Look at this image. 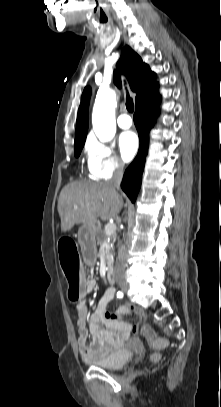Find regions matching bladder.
<instances>
[{"mask_svg":"<svg viewBox=\"0 0 221 407\" xmlns=\"http://www.w3.org/2000/svg\"><path fill=\"white\" fill-rule=\"evenodd\" d=\"M138 351H141V346L138 341H134L131 347H121L102 357L88 359L86 362L99 368L116 370L126 365Z\"/></svg>","mask_w":221,"mask_h":407,"instance_id":"31cf9c89","label":"bladder"}]
</instances>
